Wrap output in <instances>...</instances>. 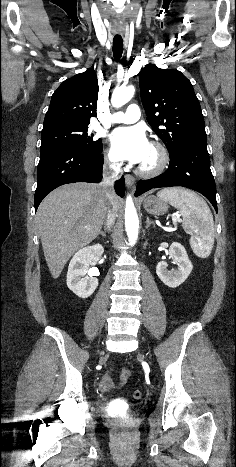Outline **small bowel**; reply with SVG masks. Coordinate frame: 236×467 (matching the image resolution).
<instances>
[{
	"label": "small bowel",
	"mask_w": 236,
	"mask_h": 467,
	"mask_svg": "<svg viewBox=\"0 0 236 467\" xmlns=\"http://www.w3.org/2000/svg\"><path fill=\"white\" fill-rule=\"evenodd\" d=\"M129 377H130V370L127 368H124L121 372L120 381L118 385L115 386L113 384L111 374L104 375L100 380V390L108 393V392L113 391L115 388L123 387L127 383Z\"/></svg>",
	"instance_id": "c3829d8e"
}]
</instances>
